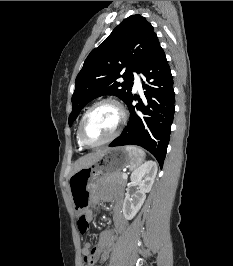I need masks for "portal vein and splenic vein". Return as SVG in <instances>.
Instances as JSON below:
<instances>
[{"label": "portal vein and splenic vein", "mask_w": 233, "mask_h": 266, "mask_svg": "<svg viewBox=\"0 0 233 266\" xmlns=\"http://www.w3.org/2000/svg\"><path fill=\"white\" fill-rule=\"evenodd\" d=\"M122 178H123V179H127V178H128V175H127L126 173H123V174H122Z\"/></svg>", "instance_id": "portal-vein-and-splenic-vein-1"}]
</instances>
